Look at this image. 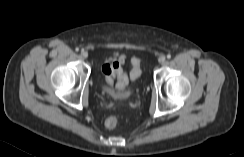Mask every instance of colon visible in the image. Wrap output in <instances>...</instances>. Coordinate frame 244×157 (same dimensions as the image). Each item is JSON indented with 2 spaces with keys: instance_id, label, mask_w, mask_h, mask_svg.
<instances>
[{
  "instance_id": "1",
  "label": "colon",
  "mask_w": 244,
  "mask_h": 157,
  "mask_svg": "<svg viewBox=\"0 0 244 157\" xmlns=\"http://www.w3.org/2000/svg\"><path fill=\"white\" fill-rule=\"evenodd\" d=\"M131 63L132 69L130 72V78L132 80H136L141 75V58L134 57ZM102 72L107 84L112 85L116 80V86L119 91L123 92L126 89L129 79L120 64L114 62L105 64L102 67ZM119 122L120 118L118 116L113 115L106 119L105 125L107 128L113 129L119 124Z\"/></svg>"
}]
</instances>
